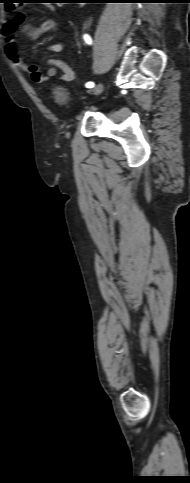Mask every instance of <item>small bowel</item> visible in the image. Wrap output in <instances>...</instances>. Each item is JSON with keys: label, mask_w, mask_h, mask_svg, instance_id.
Listing matches in <instances>:
<instances>
[{"label": "small bowel", "mask_w": 190, "mask_h": 483, "mask_svg": "<svg viewBox=\"0 0 190 483\" xmlns=\"http://www.w3.org/2000/svg\"><path fill=\"white\" fill-rule=\"evenodd\" d=\"M52 10L54 11L55 8L52 7ZM58 29L59 23L55 19L47 20L39 26H32L27 22L25 13L19 12L13 19L5 21L2 26L4 50L8 59L16 67L27 73L34 82H44L57 71L62 72V75L59 78L62 82L72 81L75 77V70L71 64L57 58H50L47 60V65L49 66L48 70L42 72L36 64H25L23 58L17 51V40L15 37L17 31L23 33L29 39L35 40L46 32L56 31ZM63 49L64 46L61 43H51L47 46L48 51L55 53L62 52Z\"/></svg>", "instance_id": "c3829d8e"}]
</instances>
